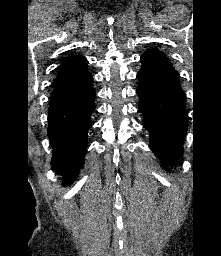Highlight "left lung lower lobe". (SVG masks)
Returning a JSON list of instances; mask_svg holds the SVG:
<instances>
[{"instance_id": "obj_1", "label": "left lung lower lobe", "mask_w": 221, "mask_h": 256, "mask_svg": "<svg viewBox=\"0 0 221 256\" xmlns=\"http://www.w3.org/2000/svg\"><path fill=\"white\" fill-rule=\"evenodd\" d=\"M139 111L150 133V149L168 161L183 153L187 132L184 93L173 67L141 68L137 74Z\"/></svg>"}]
</instances>
